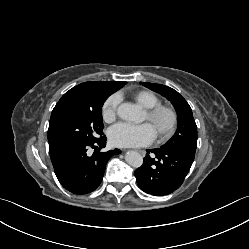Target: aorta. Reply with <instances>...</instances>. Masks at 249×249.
<instances>
[{
    "label": "aorta",
    "mask_w": 249,
    "mask_h": 249,
    "mask_svg": "<svg viewBox=\"0 0 249 249\" xmlns=\"http://www.w3.org/2000/svg\"><path fill=\"white\" fill-rule=\"evenodd\" d=\"M138 108L130 103H123L117 109V115L126 121H134L138 116ZM126 162L134 167L139 168L143 164V157L136 151H129L125 155Z\"/></svg>",
    "instance_id": "obj_1"
}]
</instances>
